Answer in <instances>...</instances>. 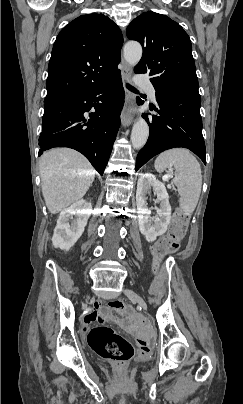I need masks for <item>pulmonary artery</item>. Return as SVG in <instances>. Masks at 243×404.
Returning <instances> with one entry per match:
<instances>
[{"label":"pulmonary artery","instance_id":"1","mask_svg":"<svg viewBox=\"0 0 243 404\" xmlns=\"http://www.w3.org/2000/svg\"><path fill=\"white\" fill-rule=\"evenodd\" d=\"M146 93L148 94L149 98L155 102L156 101V91L155 87L152 83H148L144 86Z\"/></svg>","mask_w":243,"mask_h":404}]
</instances>
